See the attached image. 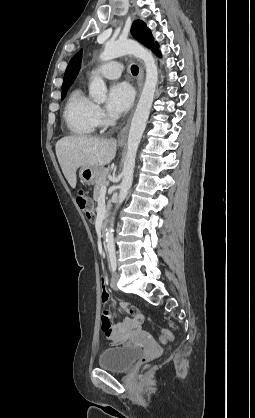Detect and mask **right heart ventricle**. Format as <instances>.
<instances>
[{"instance_id": "1", "label": "right heart ventricle", "mask_w": 255, "mask_h": 418, "mask_svg": "<svg viewBox=\"0 0 255 418\" xmlns=\"http://www.w3.org/2000/svg\"><path fill=\"white\" fill-rule=\"evenodd\" d=\"M63 116L68 130L73 135L87 136L95 131V104L86 96L81 86L70 92Z\"/></svg>"}]
</instances>
